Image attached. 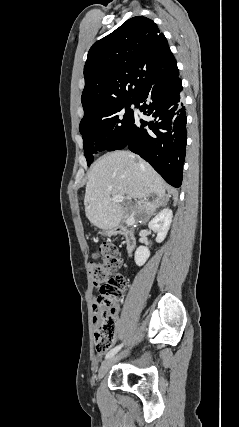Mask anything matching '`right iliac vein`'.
<instances>
[{
    "label": "right iliac vein",
    "instance_id": "obj_1",
    "mask_svg": "<svg viewBox=\"0 0 239 427\" xmlns=\"http://www.w3.org/2000/svg\"><path fill=\"white\" fill-rule=\"evenodd\" d=\"M121 355L122 354L110 357L102 363L99 369V374H98L99 378L104 377V375L108 372L110 367L120 359Z\"/></svg>",
    "mask_w": 239,
    "mask_h": 427
}]
</instances>
